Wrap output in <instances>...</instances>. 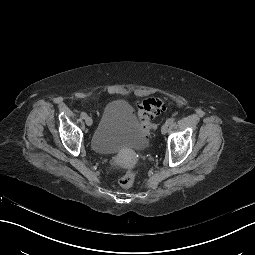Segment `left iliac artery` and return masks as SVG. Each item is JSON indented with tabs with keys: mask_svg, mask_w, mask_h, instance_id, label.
<instances>
[{
	"mask_svg": "<svg viewBox=\"0 0 255 255\" xmlns=\"http://www.w3.org/2000/svg\"><path fill=\"white\" fill-rule=\"evenodd\" d=\"M173 122H174V119L173 118H169V119H167L166 124L169 126V125H172Z\"/></svg>",
	"mask_w": 255,
	"mask_h": 255,
	"instance_id": "obj_1",
	"label": "left iliac artery"
}]
</instances>
